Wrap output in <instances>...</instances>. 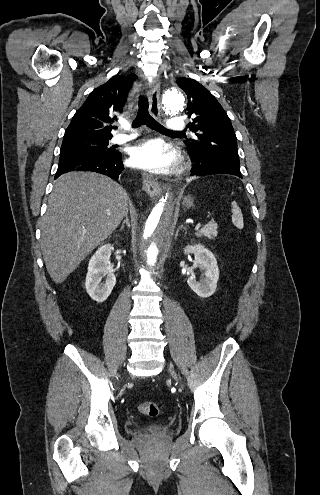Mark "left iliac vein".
Here are the masks:
<instances>
[{
	"instance_id": "4c4485c4",
	"label": "left iliac vein",
	"mask_w": 320,
	"mask_h": 495,
	"mask_svg": "<svg viewBox=\"0 0 320 495\" xmlns=\"http://www.w3.org/2000/svg\"><path fill=\"white\" fill-rule=\"evenodd\" d=\"M169 373L175 380H178V376L172 367H169Z\"/></svg>"
}]
</instances>
